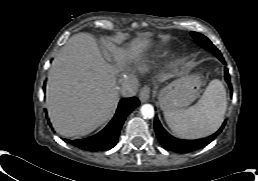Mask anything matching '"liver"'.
<instances>
[{"mask_svg":"<svg viewBox=\"0 0 258 181\" xmlns=\"http://www.w3.org/2000/svg\"><path fill=\"white\" fill-rule=\"evenodd\" d=\"M103 43L117 66L106 62L92 36L79 33L68 40L49 69L46 108L54 129L64 137L87 135L111 117L119 99L117 76L139 59L148 40L135 39L126 49L109 40ZM186 72L175 70L160 81Z\"/></svg>","mask_w":258,"mask_h":181,"instance_id":"obj_1","label":"liver"}]
</instances>
